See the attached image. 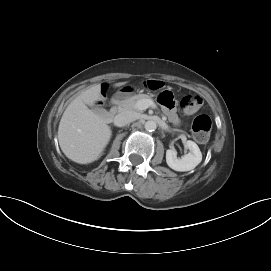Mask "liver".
<instances>
[{"label": "liver", "instance_id": "6515ba94", "mask_svg": "<svg viewBox=\"0 0 271 271\" xmlns=\"http://www.w3.org/2000/svg\"><path fill=\"white\" fill-rule=\"evenodd\" d=\"M124 84L126 82H119L114 86ZM100 100L101 84L93 85L68 105L60 120L59 145L66 157L76 163L96 161L110 141V127L101 116L88 108Z\"/></svg>", "mask_w": 271, "mask_h": 271}]
</instances>
